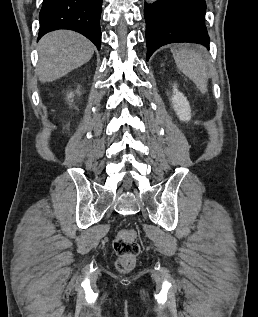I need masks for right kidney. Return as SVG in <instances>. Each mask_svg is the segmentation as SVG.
Instances as JSON below:
<instances>
[{
	"instance_id": "1",
	"label": "right kidney",
	"mask_w": 258,
	"mask_h": 317,
	"mask_svg": "<svg viewBox=\"0 0 258 317\" xmlns=\"http://www.w3.org/2000/svg\"><path fill=\"white\" fill-rule=\"evenodd\" d=\"M68 96H69V98H71V96H72V92H70V94H68Z\"/></svg>"
}]
</instances>
